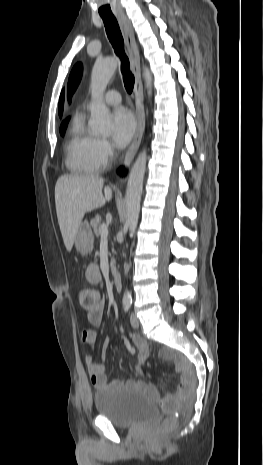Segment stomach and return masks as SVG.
I'll use <instances>...</instances> for the list:
<instances>
[{
  "mask_svg": "<svg viewBox=\"0 0 263 465\" xmlns=\"http://www.w3.org/2000/svg\"><path fill=\"white\" fill-rule=\"evenodd\" d=\"M74 244L77 251L85 256L92 252L94 236L91 227L87 221L80 223L74 238Z\"/></svg>",
  "mask_w": 263,
  "mask_h": 465,
  "instance_id": "stomach-1",
  "label": "stomach"
}]
</instances>
